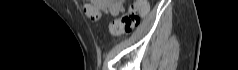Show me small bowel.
Returning <instances> with one entry per match:
<instances>
[{
    "label": "small bowel",
    "mask_w": 238,
    "mask_h": 70,
    "mask_svg": "<svg viewBox=\"0 0 238 70\" xmlns=\"http://www.w3.org/2000/svg\"><path fill=\"white\" fill-rule=\"evenodd\" d=\"M91 11H95L97 16L92 17ZM123 11V2L121 0H92L84 5V12L91 20H97L102 13L112 16H118Z\"/></svg>",
    "instance_id": "c3829d8e"
}]
</instances>
